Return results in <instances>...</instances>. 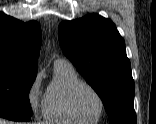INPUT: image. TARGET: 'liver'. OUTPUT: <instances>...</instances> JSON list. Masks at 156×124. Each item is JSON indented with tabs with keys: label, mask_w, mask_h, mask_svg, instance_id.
I'll use <instances>...</instances> for the list:
<instances>
[{
	"label": "liver",
	"mask_w": 156,
	"mask_h": 124,
	"mask_svg": "<svg viewBox=\"0 0 156 124\" xmlns=\"http://www.w3.org/2000/svg\"><path fill=\"white\" fill-rule=\"evenodd\" d=\"M0 124H10V123H8L7 121H5L3 119H0Z\"/></svg>",
	"instance_id": "obj_1"
}]
</instances>
